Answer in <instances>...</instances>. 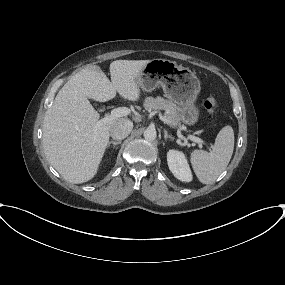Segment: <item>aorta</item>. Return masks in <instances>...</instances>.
Instances as JSON below:
<instances>
[{"mask_svg": "<svg viewBox=\"0 0 285 285\" xmlns=\"http://www.w3.org/2000/svg\"><path fill=\"white\" fill-rule=\"evenodd\" d=\"M157 137L156 130L154 128H147L144 131V138L148 141H153Z\"/></svg>", "mask_w": 285, "mask_h": 285, "instance_id": "aorta-1", "label": "aorta"}]
</instances>
